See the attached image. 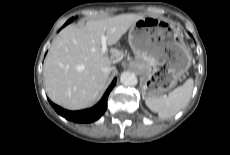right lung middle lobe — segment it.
<instances>
[{
    "mask_svg": "<svg viewBox=\"0 0 230 155\" xmlns=\"http://www.w3.org/2000/svg\"><path fill=\"white\" fill-rule=\"evenodd\" d=\"M74 20V18L69 19L66 23H70Z\"/></svg>",
    "mask_w": 230,
    "mask_h": 155,
    "instance_id": "obj_1",
    "label": "right lung middle lobe"
}]
</instances>
